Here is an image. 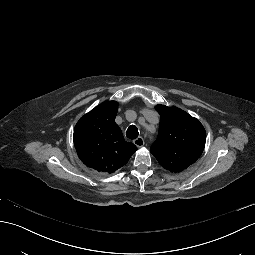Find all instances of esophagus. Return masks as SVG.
Segmentation results:
<instances>
[{
    "instance_id": "obj_1",
    "label": "esophagus",
    "mask_w": 255,
    "mask_h": 255,
    "mask_svg": "<svg viewBox=\"0 0 255 255\" xmlns=\"http://www.w3.org/2000/svg\"><path fill=\"white\" fill-rule=\"evenodd\" d=\"M133 143L135 144V146H137L138 148H141L142 146H144V139L142 137H138L136 138Z\"/></svg>"
}]
</instances>
